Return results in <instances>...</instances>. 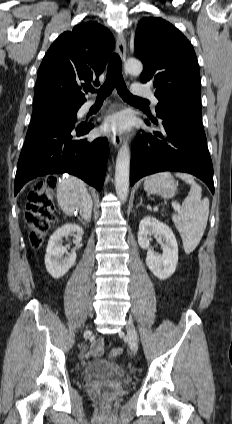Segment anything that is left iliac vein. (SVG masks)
<instances>
[{
	"mask_svg": "<svg viewBox=\"0 0 232 424\" xmlns=\"http://www.w3.org/2000/svg\"><path fill=\"white\" fill-rule=\"evenodd\" d=\"M126 330L129 346L131 350L136 353L138 350V335L134 325L130 321L127 322Z\"/></svg>",
	"mask_w": 232,
	"mask_h": 424,
	"instance_id": "1",
	"label": "left iliac vein"
}]
</instances>
